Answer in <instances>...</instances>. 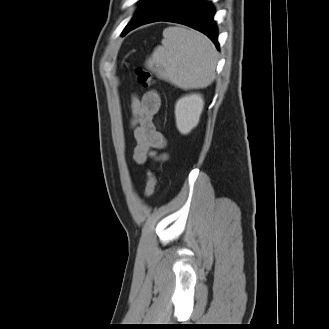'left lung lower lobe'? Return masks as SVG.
<instances>
[{"mask_svg":"<svg viewBox=\"0 0 329 329\" xmlns=\"http://www.w3.org/2000/svg\"><path fill=\"white\" fill-rule=\"evenodd\" d=\"M214 13V8L206 0H145L123 30V35L147 23L169 21L204 33L219 49Z\"/></svg>","mask_w":329,"mask_h":329,"instance_id":"left-lung-lower-lobe-1","label":"left lung lower lobe"}]
</instances>
